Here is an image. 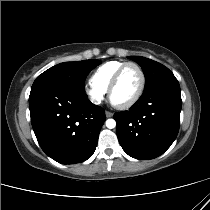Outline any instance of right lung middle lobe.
<instances>
[{"label":"right lung middle lobe","instance_id":"1","mask_svg":"<svg viewBox=\"0 0 210 210\" xmlns=\"http://www.w3.org/2000/svg\"><path fill=\"white\" fill-rule=\"evenodd\" d=\"M100 63L101 61L92 59L78 62H64L55 65L39 75L31 89L41 86L58 85L75 88L84 92L83 83L86 76Z\"/></svg>","mask_w":210,"mask_h":210}]
</instances>
